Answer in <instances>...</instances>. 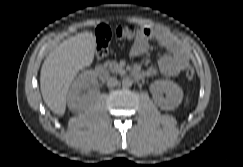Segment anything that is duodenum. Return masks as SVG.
Wrapping results in <instances>:
<instances>
[{
    "instance_id": "obj_1",
    "label": "duodenum",
    "mask_w": 243,
    "mask_h": 167,
    "mask_svg": "<svg viewBox=\"0 0 243 167\" xmlns=\"http://www.w3.org/2000/svg\"><path fill=\"white\" fill-rule=\"evenodd\" d=\"M95 73L98 76V78H103L106 76L107 74V70L103 65H97L95 68ZM132 76L136 77V78H141L142 74L141 73H132Z\"/></svg>"
}]
</instances>
